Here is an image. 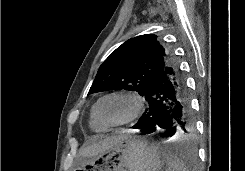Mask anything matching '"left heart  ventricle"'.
<instances>
[{
    "label": "left heart ventricle",
    "mask_w": 245,
    "mask_h": 171,
    "mask_svg": "<svg viewBox=\"0 0 245 171\" xmlns=\"http://www.w3.org/2000/svg\"><path fill=\"white\" fill-rule=\"evenodd\" d=\"M132 102L124 97H110L99 106L100 117L108 123H115L125 119L132 111Z\"/></svg>",
    "instance_id": "b2bd125f"
}]
</instances>
